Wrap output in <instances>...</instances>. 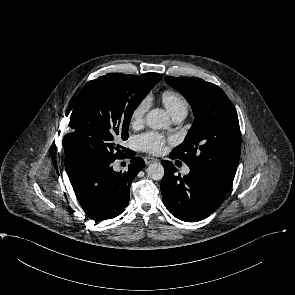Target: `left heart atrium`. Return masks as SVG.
Masks as SVG:
<instances>
[{
    "mask_svg": "<svg viewBox=\"0 0 295 295\" xmlns=\"http://www.w3.org/2000/svg\"><path fill=\"white\" fill-rule=\"evenodd\" d=\"M165 138L156 132H146L136 137L137 146L145 151L152 154H158L162 152L165 145Z\"/></svg>",
    "mask_w": 295,
    "mask_h": 295,
    "instance_id": "left-heart-atrium-1",
    "label": "left heart atrium"
}]
</instances>
